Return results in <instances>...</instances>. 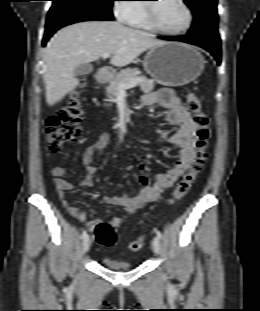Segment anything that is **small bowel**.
I'll list each match as a JSON object with an SVG mask.
<instances>
[{"mask_svg": "<svg viewBox=\"0 0 260 311\" xmlns=\"http://www.w3.org/2000/svg\"><path fill=\"white\" fill-rule=\"evenodd\" d=\"M143 103L146 106L160 105L167 110L166 121L170 125H177V132L168 138V142L180 149L179 158L173 167L166 173H159L155 176L153 184H149L148 177L145 173L139 176L140 188L133 197L127 195L121 196H106L104 198L107 204L117 205L124 208V216H115L111 218L110 223L114 227H118L123 222L124 218L134 214L144 204L156 201L162 192L170 188L179 177L189 168L194 149L196 145L197 127L191 113L182 104L181 100L174 94L171 89H161L159 91L148 93ZM109 133H102L96 141L86 148L84 151H79L78 156L83 161L87 170L85 183L93 181L97 172V163L92 159L94 154H99L103 148L109 143ZM138 160L140 156L134 155ZM140 169L144 171L145 167L140 163ZM66 168L64 166H56L52 169L51 175L53 183L58 192L59 199L67 212L77 220L85 222L86 227L93 231L100 220L86 222V213L81 208L74 206L67 198L66 192L73 189V186L64 179Z\"/></svg>", "mask_w": 260, "mask_h": 311, "instance_id": "obj_1", "label": "small bowel"}]
</instances>
